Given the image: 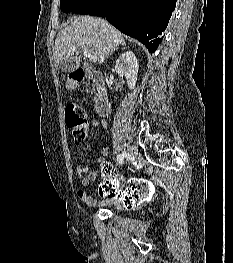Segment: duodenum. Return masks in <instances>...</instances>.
<instances>
[{
  "instance_id": "duodenum-1",
  "label": "duodenum",
  "mask_w": 233,
  "mask_h": 263,
  "mask_svg": "<svg viewBox=\"0 0 233 263\" xmlns=\"http://www.w3.org/2000/svg\"><path fill=\"white\" fill-rule=\"evenodd\" d=\"M71 80L76 84L87 80L92 81L95 86L92 97L95 98L96 114L100 117H106L110 114L111 104L104 86L103 76L99 72L88 68H79L72 73Z\"/></svg>"
}]
</instances>
